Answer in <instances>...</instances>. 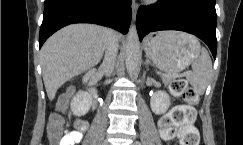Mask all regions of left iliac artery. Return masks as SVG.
Wrapping results in <instances>:
<instances>
[{
    "label": "left iliac artery",
    "mask_w": 243,
    "mask_h": 145,
    "mask_svg": "<svg viewBox=\"0 0 243 145\" xmlns=\"http://www.w3.org/2000/svg\"><path fill=\"white\" fill-rule=\"evenodd\" d=\"M138 145H142L140 142H138Z\"/></svg>",
    "instance_id": "1"
}]
</instances>
